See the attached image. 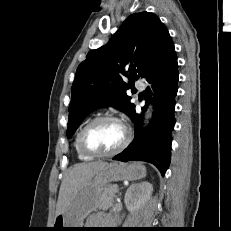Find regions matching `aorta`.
I'll use <instances>...</instances> for the list:
<instances>
[{
	"label": "aorta",
	"instance_id": "1",
	"mask_svg": "<svg viewBox=\"0 0 231 231\" xmlns=\"http://www.w3.org/2000/svg\"><path fill=\"white\" fill-rule=\"evenodd\" d=\"M150 117H151V111L150 109H148V111L146 112V116H145V122H147Z\"/></svg>",
	"mask_w": 231,
	"mask_h": 231
}]
</instances>
